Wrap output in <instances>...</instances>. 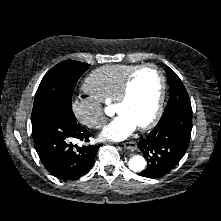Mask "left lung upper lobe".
Here are the masks:
<instances>
[{
    "label": "left lung upper lobe",
    "instance_id": "left-lung-upper-lobe-1",
    "mask_svg": "<svg viewBox=\"0 0 221 221\" xmlns=\"http://www.w3.org/2000/svg\"><path fill=\"white\" fill-rule=\"evenodd\" d=\"M166 70L168 76V83L170 85V92L169 101L164 110V113L175 108H191V102L183 83L172 69L167 67Z\"/></svg>",
    "mask_w": 221,
    "mask_h": 221
}]
</instances>
